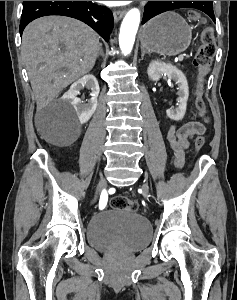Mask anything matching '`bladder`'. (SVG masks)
<instances>
[{
	"mask_svg": "<svg viewBox=\"0 0 237 300\" xmlns=\"http://www.w3.org/2000/svg\"><path fill=\"white\" fill-rule=\"evenodd\" d=\"M86 235L89 244L99 250L136 251L150 242L152 228L137 213L108 210L90 218Z\"/></svg>",
	"mask_w": 237,
	"mask_h": 300,
	"instance_id": "bladder-1",
	"label": "bladder"
}]
</instances>
